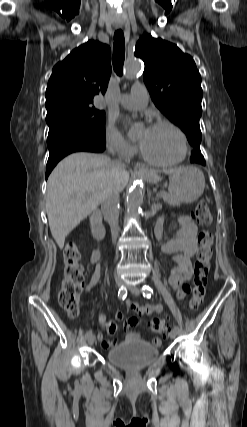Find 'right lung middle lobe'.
I'll use <instances>...</instances> for the list:
<instances>
[{
    "instance_id": "1",
    "label": "right lung middle lobe",
    "mask_w": 247,
    "mask_h": 427,
    "mask_svg": "<svg viewBox=\"0 0 247 427\" xmlns=\"http://www.w3.org/2000/svg\"><path fill=\"white\" fill-rule=\"evenodd\" d=\"M105 113L93 105L68 106L57 109L46 116V122L51 126H65L82 133L93 139L105 143Z\"/></svg>"
}]
</instances>
